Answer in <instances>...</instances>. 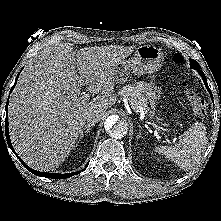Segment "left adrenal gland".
<instances>
[{
    "instance_id": "1",
    "label": "left adrenal gland",
    "mask_w": 221,
    "mask_h": 221,
    "mask_svg": "<svg viewBox=\"0 0 221 221\" xmlns=\"http://www.w3.org/2000/svg\"><path fill=\"white\" fill-rule=\"evenodd\" d=\"M142 139L143 138V136H142V134H141V130L139 129V132H138V135H137V139Z\"/></svg>"
}]
</instances>
